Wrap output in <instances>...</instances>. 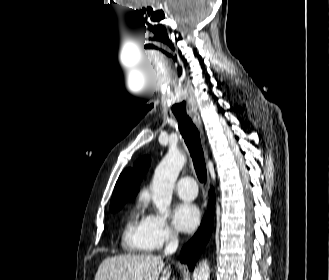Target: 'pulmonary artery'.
Listing matches in <instances>:
<instances>
[{
  "mask_svg": "<svg viewBox=\"0 0 329 280\" xmlns=\"http://www.w3.org/2000/svg\"><path fill=\"white\" fill-rule=\"evenodd\" d=\"M175 189L178 196L184 200H193L197 196V184L191 176L180 178Z\"/></svg>",
  "mask_w": 329,
  "mask_h": 280,
  "instance_id": "obj_1",
  "label": "pulmonary artery"
}]
</instances>
